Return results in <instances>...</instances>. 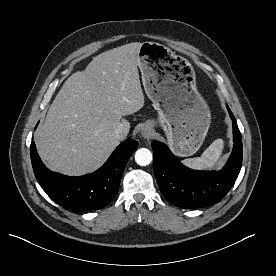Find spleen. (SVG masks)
Segmentation results:
<instances>
[{
  "label": "spleen",
  "mask_w": 276,
  "mask_h": 276,
  "mask_svg": "<svg viewBox=\"0 0 276 276\" xmlns=\"http://www.w3.org/2000/svg\"><path fill=\"white\" fill-rule=\"evenodd\" d=\"M224 142L222 139H216L212 144L202 153L201 157L189 158L182 161V163L193 170L211 169L214 167L219 157L222 154Z\"/></svg>",
  "instance_id": "3e777b00"
}]
</instances>
